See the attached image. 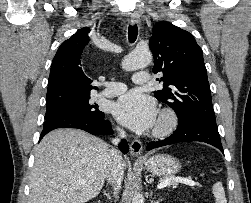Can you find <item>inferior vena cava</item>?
<instances>
[{"mask_svg": "<svg viewBox=\"0 0 251 203\" xmlns=\"http://www.w3.org/2000/svg\"><path fill=\"white\" fill-rule=\"evenodd\" d=\"M119 136L121 138L125 137V131L123 129L118 128ZM114 144H117L119 142V138L113 139L112 141ZM110 156L112 159L111 168L108 172L107 179L109 183H112L115 185V193L119 191L121 188V183L123 180V166H122V156L120 155V152L115 149L110 150Z\"/></svg>", "mask_w": 251, "mask_h": 203, "instance_id": "inferior-vena-cava-1", "label": "inferior vena cava"}]
</instances>
